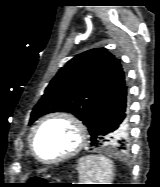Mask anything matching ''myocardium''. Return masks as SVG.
<instances>
[{"instance_id": "obj_1", "label": "myocardium", "mask_w": 160, "mask_h": 187, "mask_svg": "<svg viewBox=\"0 0 160 187\" xmlns=\"http://www.w3.org/2000/svg\"><path fill=\"white\" fill-rule=\"evenodd\" d=\"M53 119H62L70 123L74 127L78 135V140H77L76 146L72 150L67 152L66 154H63L55 159L45 160L41 158L36 151V137L40 129L42 128V126L46 124L48 121L53 120ZM87 139H88V131H87V127L84 124V122L79 117H77L76 115L72 113L59 111V112L50 113L38 121V123L35 125L31 133L30 149H31L33 156L39 162L43 164H56L78 154L86 145Z\"/></svg>"}]
</instances>
